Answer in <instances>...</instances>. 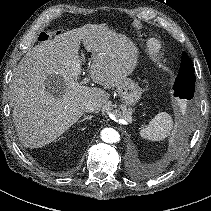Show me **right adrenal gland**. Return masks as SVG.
<instances>
[{
  "instance_id": "right-adrenal-gland-1",
  "label": "right adrenal gland",
  "mask_w": 211,
  "mask_h": 211,
  "mask_svg": "<svg viewBox=\"0 0 211 211\" xmlns=\"http://www.w3.org/2000/svg\"><path fill=\"white\" fill-rule=\"evenodd\" d=\"M93 118V116L92 115H87V116H84V118L83 119H81V120H79L78 121V123H81V122H83V121H85V120H91Z\"/></svg>"
}]
</instances>
